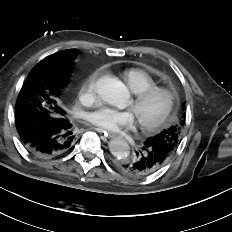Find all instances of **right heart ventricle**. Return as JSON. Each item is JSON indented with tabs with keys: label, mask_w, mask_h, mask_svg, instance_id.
<instances>
[{
	"label": "right heart ventricle",
	"mask_w": 232,
	"mask_h": 232,
	"mask_svg": "<svg viewBox=\"0 0 232 232\" xmlns=\"http://www.w3.org/2000/svg\"><path fill=\"white\" fill-rule=\"evenodd\" d=\"M123 79L133 93L141 92L156 86L155 79L146 71L138 68L127 69L123 73Z\"/></svg>",
	"instance_id": "1"
}]
</instances>
